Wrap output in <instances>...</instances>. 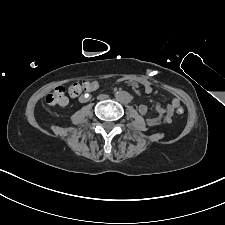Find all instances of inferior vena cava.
I'll return each instance as SVG.
<instances>
[{
	"label": "inferior vena cava",
	"instance_id": "1",
	"mask_svg": "<svg viewBox=\"0 0 225 225\" xmlns=\"http://www.w3.org/2000/svg\"><path fill=\"white\" fill-rule=\"evenodd\" d=\"M107 97H108V95L102 94V95H100L98 98H99V99H106Z\"/></svg>",
	"mask_w": 225,
	"mask_h": 225
}]
</instances>
